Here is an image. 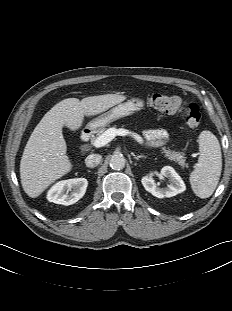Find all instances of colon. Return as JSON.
Segmentation results:
<instances>
[{"mask_svg": "<svg viewBox=\"0 0 232 311\" xmlns=\"http://www.w3.org/2000/svg\"><path fill=\"white\" fill-rule=\"evenodd\" d=\"M148 101L153 108L160 112L167 114H180L182 120L191 128L197 127L200 123V109L195 103L184 102L176 96L162 93L152 94Z\"/></svg>", "mask_w": 232, "mask_h": 311, "instance_id": "5ec220e1", "label": "colon"}]
</instances>
